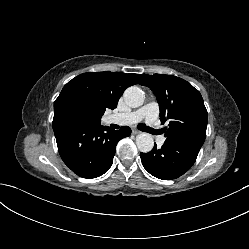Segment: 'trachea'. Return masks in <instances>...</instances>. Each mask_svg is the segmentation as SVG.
<instances>
[{
  "instance_id": "1",
  "label": "trachea",
  "mask_w": 249,
  "mask_h": 249,
  "mask_svg": "<svg viewBox=\"0 0 249 249\" xmlns=\"http://www.w3.org/2000/svg\"><path fill=\"white\" fill-rule=\"evenodd\" d=\"M137 127L139 130H141L143 132L153 133V130L151 128L147 127L145 124L140 123V124H138Z\"/></svg>"
}]
</instances>
